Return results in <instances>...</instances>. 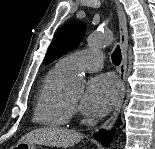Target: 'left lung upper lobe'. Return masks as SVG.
<instances>
[{
	"label": "left lung upper lobe",
	"mask_w": 155,
	"mask_h": 149,
	"mask_svg": "<svg viewBox=\"0 0 155 149\" xmlns=\"http://www.w3.org/2000/svg\"><path fill=\"white\" fill-rule=\"evenodd\" d=\"M84 31L85 25L82 22H70L61 27L49 46L43 64H49L76 48L82 41Z\"/></svg>",
	"instance_id": "1"
}]
</instances>
